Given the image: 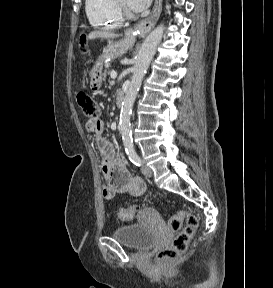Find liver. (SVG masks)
Listing matches in <instances>:
<instances>
[{"label": "liver", "mask_w": 273, "mask_h": 288, "mask_svg": "<svg viewBox=\"0 0 273 288\" xmlns=\"http://www.w3.org/2000/svg\"><path fill=\"white\" fill-rule=\"evenodd\" d=\"M116 37H118V34H115L113 32L106 30H95L87 35V40H92L96 38L114 39Z\"/></svg>", "instance_id": "liver-1"}]
</instances>
